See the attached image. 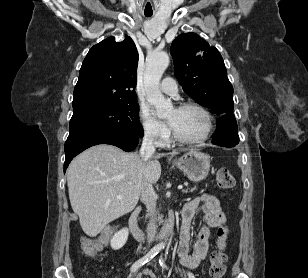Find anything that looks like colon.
<instances>
[{"label":"colon","mask_w":308,"mask_h":278,"mask_svg":"<svg viewBox=\"0 0 308 278\" xmlns=\"http://www.w3.org/2000/svg\"><path fill=\"white\" fill-rule=\"evenodd\" d=\"M217 185L222 190L231 189L234 186V177L229 170L220 169L216 176ZM121 228L116 226L114 230L110 227H104L101 235L95 238L82 237L81 250L87 256L96 255L102 247H111L113 245V237H115ZM229 230L227 227H221L218 230V241L227 237ZM106 239V240H105ZM226 254L221 249L214 250L209 259V277L210 278H223L226 272Z\"/></svg>","instance_id":"1"}]
</instances>
